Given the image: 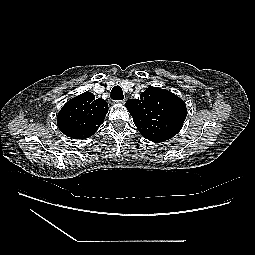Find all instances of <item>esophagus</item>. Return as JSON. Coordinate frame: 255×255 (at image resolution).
I'll return each mask as SVG.
<instances>
[{"mask_svg":"<svg viewBox=\"0 0 255 255\" xmlns=\"http://www.w3.org/2000/svg\"><path fill=\"white\" fill-rule=\"evenodd\" d=\"M117 103H120V104H124L125 103V100H119V101H116Z\"/></svg>","mask_w":255,"mask_h":255,"instance_id":"obj_1","label":"esophagus"}]
</instances>
